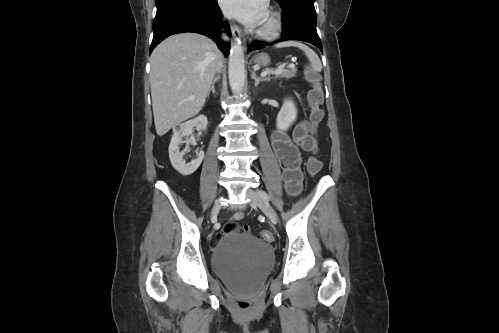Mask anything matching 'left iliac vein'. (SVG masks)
Wrapping results in <instances>:
<instances>
[{"label": "left iliac vein", "mask_w": 499, "mask_h": 333, "mask_svg": "<svg viewBox=\"0 0 499 333\" xmlns=\"http://www.w3.org/2000/svg\"><path fill=\"white\" fill-rule=\"evenodd\" d=\"M247 198L250 200V203L254 206L259 207L262 212L273 222L277 223L278 222V217L275 212V210L272 208V206L265 200L263 199L258 192L249 189L247 191Z\"/></svg>", "instance_id": "4c4485c4"}]
</instances>
